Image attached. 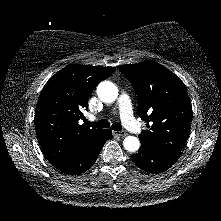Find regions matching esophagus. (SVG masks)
Instances as JSON below:
<instances>
[{
	"mask_svg": "<svg viewBox=\"0 0 221 221\" xmlns=\"http://www.w3.org/2000/svg\"><path fill=\"white\" fill-rule=\"evenodd\" d=\"M113 134L119 137L127 136V133L125 131H113Z\"/></svg>",
	"mask_w": 221,
	"mask_h": 221,
	"instance_id": "esophagus-1",
	"label": "esophagus"
}]
</instances>
